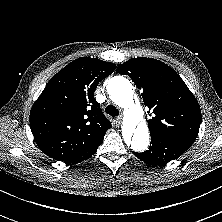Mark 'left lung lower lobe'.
I'll use <instances>...</instances> for the list:
<instances>
[{"label":"left lung lower lobe","instance_id":"0a47b994","mask_svg":"<svg viewBox=\"0 0 222 222\" xmlns=\"http://www.w3.org/2000/svg\"><path fill=\"white\" fill-rule=\"evenodd\" d=\"M194 141L168 135H151V146L147 151L135 156L152 165H165L186 152Z\"/></svg>","mask_w":222,"mask_h":222}]
</instances>
